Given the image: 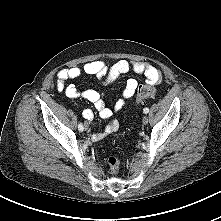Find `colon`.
Instances as JSON below:
<instances>
[{
	"label": "colon",
	"mask_w": 221,
	"mask_h": 221,
	"mask_svg": "<svg viewBox=\"0 0 221 221\" xmlns=\"http://www.w3.org/2000/svg\"><path fill=\"white\" fill-rule=\"evenodd\" d=\"M156 89L152 85H142L138 88L137 101H141L147 98H151L155 95ZM108 165L112 173H117L121 166V159L117 156H110L107 160Z\"/></svg>",
	"instance_id": "obj_1"
}]
</instances>
